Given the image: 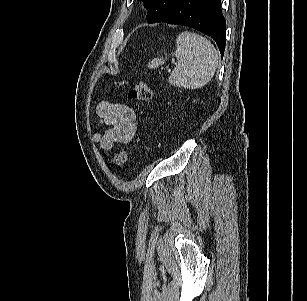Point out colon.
Wrapping results in <instances>:
<instances>
[{"label":"colon","mask_w":307,"mask_h":301,"mask_svg":"<svg viewBox=\"0 0 307 301\" xmlns=\"http://www.w3.org/2000/svg\"><path fill=\"white\" fill-rule=\"evenodd\" d=\"M128 96L132 100L148 101L152 97V90L147 82L138 80L131 84ZM127 160L128 152L121 150L115 155L113 163L116 167L120 168L126 164Z\"/></svg>","instance_id":"obj_1"}]
</instances>
